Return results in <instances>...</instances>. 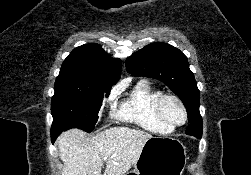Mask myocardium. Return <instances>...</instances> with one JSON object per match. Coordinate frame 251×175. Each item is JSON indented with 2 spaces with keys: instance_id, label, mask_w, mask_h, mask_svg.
I'll return each instance as SVG.
<instances>
[{
  "instance_id": "myocardium-1",
  "label": "myocardium",
  "mask_w": 251,
  "mask_h": 175,
  "mask_svg": "<svg viewBox=\"0 0 251 175\" xmlns=\"http://www.w3.org/2000/svg\"><path fill=\"white\" fill-rule=\"evenodd\" d=\"M167 99H174L176 101L179 102V104L182 106L184 112H185V120L182 124L180 125H173L171 124L164 116L163 114V104ZM154 110H155V114L157 116V118L159 119V121L164 124L165 126H167L168 128L172 129L173 131L178 130L182 127H184L188 121H189V110L188 107L186 106L185 102L176 94H172V93H162L155 101L154 104Z\"/></svg>"
}]
</instances>
